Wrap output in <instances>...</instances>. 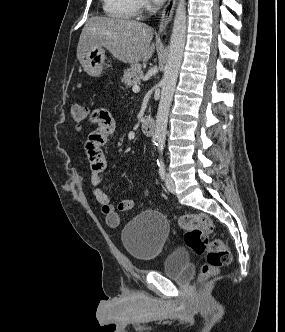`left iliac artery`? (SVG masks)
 Listing matches in <instances>:
<instances>
[{
    "instance_id": "left-iliac-artery-1",
    "label": "left iliac artery",
    "mask_w": 285,
    "mask_h": 332,
    "mask_svg": "<svg viewBox=\"0 0 285 332\" xmlns=\"http://www.w3.org/2000/svg\"><path fill=\"white\" fill-rule=\"evenodd\" d=\"M157 165L159 168V175H160L161 179H164L166 170H165V165H164L163 161H160V162L157 161Z\"/></svg>"
}]
</instances>
